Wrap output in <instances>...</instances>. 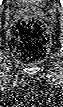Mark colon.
I'll list each match as a JSON object with an SVG mask.
<instances>
[{
  "instance_id": "1",
  "label": "colon",
  "mask_w": 63,
  "mask_h": 107,
  "mask_svg": "<svg viewBox=\"0 0 63 107\" xmlns=\"http://www.w3.org/2000/svg\"><path fill=\"white\" fill-rule=\"evenodd\" d=\"M50 37L47 27L40 21L24 19L17 23L9 34V47L21 62L42 60L49 49Z\"/></svg>"
}]
</instances>
